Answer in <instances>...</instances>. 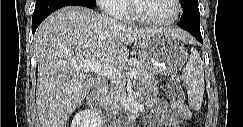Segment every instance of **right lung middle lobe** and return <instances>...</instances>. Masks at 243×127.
I'll list each match as a JSON object with an SVG mask.
<instances>
[{
	"mask_svg": "<svg viewBox=\"0 0 243 127\" xmlns=\"http://www.w3.org/2000/svg\"><path fill=\"white\" fill-rule=\"evenodd\" d=\"M93 6H95L96 1L95 0H88Z\"/></svg>",
	"mask_w": 243,
	"mask_h": 127,
	"instance_id": "1",
	"label": "right lung middle lobe"
}]
</instances>
